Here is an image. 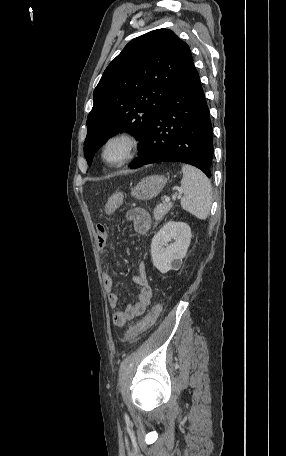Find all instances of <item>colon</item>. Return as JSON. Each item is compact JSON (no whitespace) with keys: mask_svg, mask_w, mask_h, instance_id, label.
Instances as JSON below:
<instances>
[{"mask_svg":"<svg viewBox=\"0 0 286 456\" xmlns=\"http://www.w3.org/2000/svg\"><path fill=\"white\" fill-rule=\"evenodd\" d=\"M123 196L122 194H114L110 197L108 203L112 206H118L122 203ZM162 309V304L157 303L151 311L138 323L130 326L125 332V339L126 340H133L137 337L144 334L147 330H149L153 324L158 319L160 312Z\"/></svg>","mask_w":286,"mask_h":456,"instance_id":"obj_1","label":"colon"}]
</instances>
